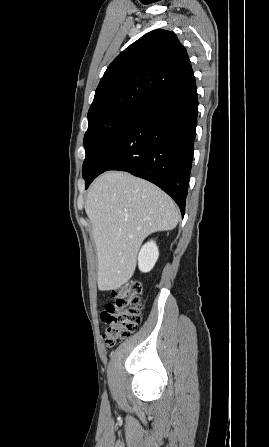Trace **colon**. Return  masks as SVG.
<instances>
[{
  "mask_svg": "<svg viewBox=\"0 0 269 447\" xmlns=\"http://www.w3.org/2000/svg\"><path fill=\"white\" fill-rule=\"evenodd\" d=\"M143 290L137 280L112 290L114 300L101 312L102 322L106 325L103 336L107 346L114 347L140 326L144 310Z\"/></svg>",
  "mask_w": 269,
  "mask_h": 447,
  "instance_id": "5ec220e1",
  "label": "colon"
}]
</instances>
